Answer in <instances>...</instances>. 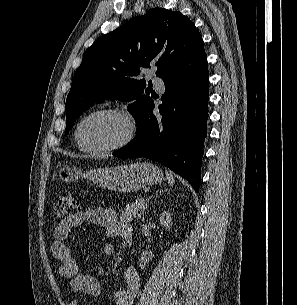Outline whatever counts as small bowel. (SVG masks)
Wrapping results in <instances>:
<instances>
[{
  "label": "small bowel",
  "instance_id": "1",
  "mask_svg": "<svg viewBox=\"0 0 297 305\" xmlns=\"http://www.w3.org/2000/svg\"><path fill=\"white\" fill-rule=\"evenodd\" d=\"M86 222L97 224L105 229L108 237H122L123 231L132 226L117 218L114 210L110 208H86L63 220L53 229L51 251L59 262L58 273L66 280L67 287L73 294L98 297L102 290L97 280L87 274L78 273L75 259L65 240L72 228L78 227ZM115 248L112 244L104 247L107 255H112ZM140 277L134 267H128L123 274V287L113 294V305H133L134 298L140 289ZM69 305H78V301L72 300Z\"/></svg>",
  "mask_w": 297,
  "mask_h": 305
}]
</instances>
